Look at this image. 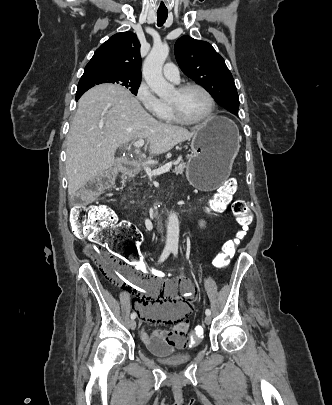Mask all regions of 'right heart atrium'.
<instances>
[{
  "label": "right heart atrium",
  "instance_id": "d8ad5b80",
  "mask_svg": "<svg viewBox=\"0 0 332 405\" xmlns=\"http://www.w3.org/2000/svg\"><path fill=\"white\" fill-rule=\"evenodd\" d=\"M136 97L144 109L153 117L160 118L164 112V103L160 101L150 87L142 82L137 91Z\"/></svg>",
  "mask_w": 332,
  "mask_h": 405
}]
</instances>
